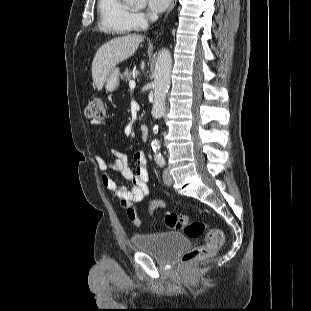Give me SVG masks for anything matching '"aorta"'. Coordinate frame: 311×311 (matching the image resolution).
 <instances>
[{
	"label": "aorta",
	"mask_w": 311,
	"mask_h": 311,
	"mask_svg": "<svg viewBox=\"0 0 311 311\" xmlns=\"http://www.w3.org/2000/svg\"><path fill=\"white\" fill-rule=\"evenodd\" d=\"M130 4L142 5L145 0H124ZM172 69V57L168 49H162L156 61L155 66V79H154V101L152 107V117L154 119L161 118L165 113V99L170 85V76ZM154 131H158L157 126L154 127ZM155 158L161 157L159 153L160 143L157 139H154L151 143Z\"/></svg>",
	"instance_id": "obj_1"
}]
</instances>
